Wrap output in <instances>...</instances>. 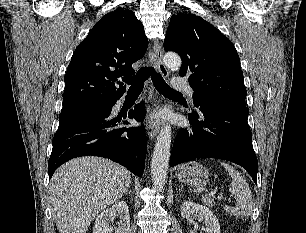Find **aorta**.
<instances>
[{
  "label": "aorta",
  "mask_w": 306,
  "mask_h": 233,
  "mask_svg": "<svg viewBox=\"0 0 306 233\" xmlns=\"http://www.w3.org/2000/svg\"><path fill=\"white\" fill-rule=\"evenodd\" d=\"M164 63L171 70H178L182 61L176 53L168 52L164 55ZM171 126H164L155 143L151 160V177L156 189L162 190L167 178L170 158Z\"/></svg>",
  "instance_id": "1"
}]
</instances>
